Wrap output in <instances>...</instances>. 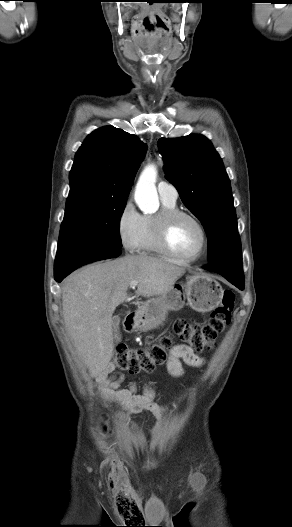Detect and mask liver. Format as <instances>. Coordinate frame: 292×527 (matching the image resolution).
Instances as JSON below:
<instances>
[{"label": "liver", "mask_w": 292, "mask_h": 527, "mask_svg": "<svg viewBox=\"0 0 292 527\" xmlns=\"http://www.w3.org/2000/svg\"><path fill=\"white\" fill-rule=\"evenodd\" d=\"M185 268L145 255L94 263L71 274L62 287L65 327L92 377L109 364L114 350L112 314L129 299L127 290L138 281L144 297L168 292Z\"/></svg>", "instance_id": "obj_1"}]
</instances>
